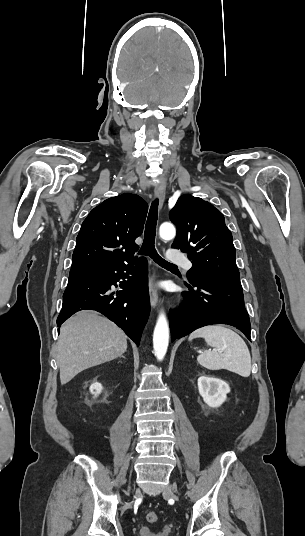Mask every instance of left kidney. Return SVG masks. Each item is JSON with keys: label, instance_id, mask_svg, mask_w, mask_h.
Wrapping results in <instances>:
<instances>
[{"label": "left kidney", "instance_id": "left-kidney-1", "mask_svg": "<svg viewBox=\"0 0 305 536\" xmlns=\"http://www.w3.org/2000/svg\"><path fill=\"white\" fill-rule=\"evenodd\" d=\"M198 390L205 404L210 408L221 406L227 398L226 394L230 392L229 384L219 380V378H213V376H200Z\"/></svg>", "mask_w": 305, "mask_h": 536}]
</instances>
